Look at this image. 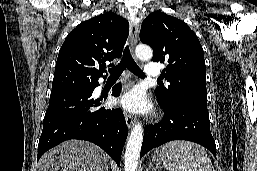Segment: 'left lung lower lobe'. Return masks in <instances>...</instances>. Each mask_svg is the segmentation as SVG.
Segmentation results:
<instances>
[{"label": "left lung lower lobe", "mask_w": 257, "mask_h": 171, "mask_svg": "<svg viewBox=\"0 0 257 171\" xmlns=\"http://www.w3.org/2000/svg\"><path fill=\"white\" fill-rule=\"evenodd\" d=\"M158 101L165 116L159 123L145 127L140 158L149 150L172 140L196 142L216 156L206 103L181 99Z\"/></svg>", "instance_id": "left-lung-lower-lobe-1"}]
</instances>
